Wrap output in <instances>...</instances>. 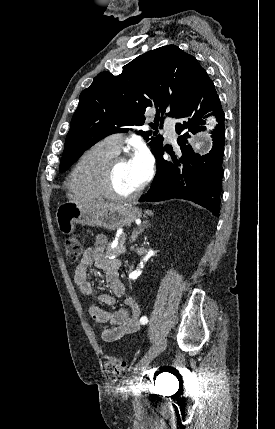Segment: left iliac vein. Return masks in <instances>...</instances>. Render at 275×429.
I'll use <instances>...</instances> for the list:
<instances>
[{
    "label": "left iliac vein",
    "instance_id": "obj_1",
    "mask_svg": "<svg viewBox=\"0 0 275 429\" xmlns=\"http://www.w3.org/2000/svg\"><path fill=\"white\" fill-rule=\"evenodd\" d=\"M163 344H166V340L163 341ZM161 348L159 345L154 344L149 349V351L144 355V357L138 362L136 366V376H140L148 367V365L151 363V361L161 352Z\"/></svg>",
    "mask_w": 275,
    "mask_h": 429
}]
</instances>
